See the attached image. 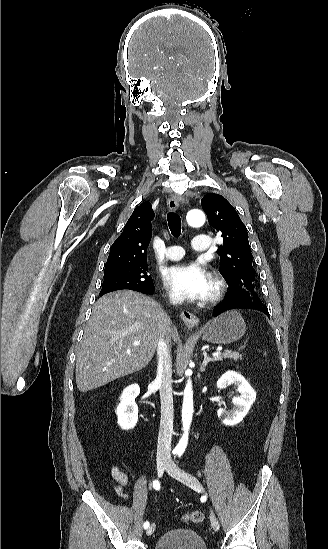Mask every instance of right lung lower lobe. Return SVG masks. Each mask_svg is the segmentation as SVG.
Masks as SVG:
<instances>
[{
  "label": "right lung lower lobe",
  "instance_id": "right-lung-lower-lobe-1",
  "mask_svg": "<svg viewBox=\"0 0 328 549\" xmlns=\"http://www.w3.org/2000/svg\"><path fill=\"white\" fill-rule=\"evenodd\" d=\"M153 291H154V289H152V290H150V291H148V292H145V294H150V293H152Z\"/></svg>",
  "mask_w": 328,
  "mask_h": 549
}]
</instances>
